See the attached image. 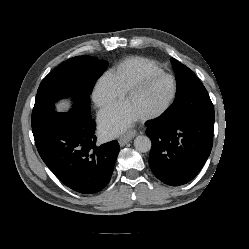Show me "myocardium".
Here are the masks:
<instances>
[{
  "label": "myocardium",
  "mask_w": 249,
  "mask_h": 249,
  "mask_svg": "<svg viewBox=\"0 0 249 249\" xmlns=\"http://www.w3.org/2000/svg\"><path fill=\"white\" fill-rule=\"evenodd\" d=\"M159 77H164V78H168L171 80L172 82V91H171V95L168 98V100L165 102V104L160 107L159 109L150 112L148 114L139 116V119L142 121H147V120H152V119H156L160 116H162L163 114H165L173 105L176 95H177V82L174 78V76H172L171 74L165 73V72H157V73H151V74H147L143 77H141L139 80H137L135 83H133L127 90L124 96V99L126 100L127 98L131 97L133 94H135L136 92H138L139 90H141L144 86H146L150 81L159 78Z\"/></svg>",
  "instance_id": "f54148a6"
}]
</instances>
